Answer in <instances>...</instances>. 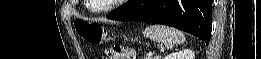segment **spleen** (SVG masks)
<instances>
[{"label": "spleen", "instance_id": "1", "mask_svg": "<svg viewBox=\"0 0 261 59\" xmlns=\"http://www.w3.org/2000/svg\"><path fill=\"white\" fill-rule=\"evenodd\" d=\"M143 34L155 42L163 43L167 48L185 42V36L180 30L164 25L148 26Z\"/></svg>", "mask_w": 261, "mask_h": 59}]
</instances>
